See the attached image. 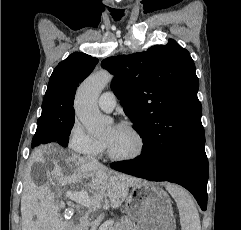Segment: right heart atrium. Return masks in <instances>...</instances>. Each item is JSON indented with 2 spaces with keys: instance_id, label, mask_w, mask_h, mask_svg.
<instances>
[{
  "instance_id": "obj_1",
  "label": "right heart atrium",
  "mask_w": 241,
  "mask_h": 230,
  "mask_svg": "<svg viewBox=\"0 0 241 230\" xmlns=\"http://www.w3.org/2000/svg\"><path fill=\"white\" fill-rule=\"evenodd\" d=\"M68 147L78 154L94 157L102 152L104 144L89 135L82 124L75 120L68 135Z\"/></svg>"
}]
</instances>
